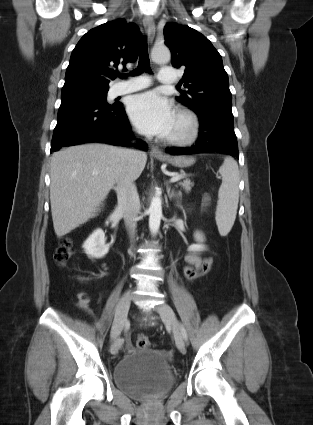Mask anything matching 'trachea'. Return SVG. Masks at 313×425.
I'll use <instances>...</instances> for the list:
<instances>
[{"label":"trachea","instance_id":"obj_1","mask_svg":"<svg viewBox=\"0 0 313 425\" xmlns=\"http://www.w3.org/2000/svg\"><path fill=\"white\" fill-rule=\"evenodd\" d=\"M142 72L152 73V71L150 69L146 38L142 40V43H141V46H140L138 67L135 70H133L130 73V75L135 76V75L141 74ZM118 76L121 79H124V78L127 77L126 74H119Z\"/></svg>","mask_w":313,"mask_h":425}]
</instances>
